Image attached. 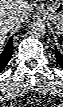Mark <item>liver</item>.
I'll use <instances>...</instances> for the list:
<instances>
[{
	"mask_svg": "<svg viewBox=\"0 0 63 107\" xmlns=\"http://www.w3.org/2000/svg\"><path fill=\"white\" fill-rule=\"evenodd\" d=\"M30 13L27 0H0V21L11 15L17 18L16 24L24 23ZM11 28L2 26L0 23V44H3Z\"/></svg>",
	"mask_w": 63,
	"mask_h": 107,
	"instance_id": "obj_1",
	"label": "liver"
}]
</instances>
